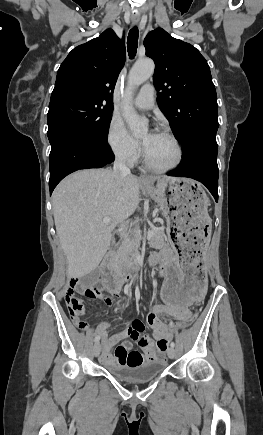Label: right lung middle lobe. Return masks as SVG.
I'll list each match as a JSON object with an SVG mask.
<instances>
[{"instance_id":"1","label":"right lung middle lobe","mask_w":263,"mask_h":435,"mask_svg":"<svg viewBox=\"0 0 263 435\" xmlns=\"http://www.w3.org/2000/svg\"><path fill=\"white\" fill-rule=\"evenodd\" d=\"M113 103L98 100H72L49 106L48 139L53 145L65 134H79L106 142Z\"/></svg>"}]
</instances>
